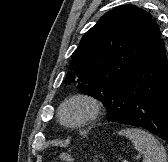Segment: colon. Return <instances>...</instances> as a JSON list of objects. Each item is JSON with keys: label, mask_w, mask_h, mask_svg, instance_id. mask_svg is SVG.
<instances>
[{"label": "colon", "mask_w": 168, "mask_h": 162, "mask_svg": "<svg viewBox=\"0 0 168 162\" xmlns=\"http://www.w3.org/2000/svg\"><path fill=\"white\" fill-rule=\"evenodd\" d=\"M59 160H61L62 162H72L73 161V157L70 154L61 153L59 155Z\"/></svg>", "instance_id": "obj_1"}]
</instances>
